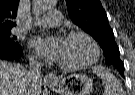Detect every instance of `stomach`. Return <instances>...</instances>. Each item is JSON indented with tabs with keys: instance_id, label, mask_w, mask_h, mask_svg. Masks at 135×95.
<instances>
[{
	"instance_id": "obj_1",
	"label": "stomach",
	"mask_w": 135,
	"mask_h": 95,
	"mask_svg": "<svg viewBox=\"0 0 135 95\" xmlns=\"http://www.w3.org/2000/svg\"><path fill=\"white\" fill-rule=\"evenodd\" d=\"M49 87L59 95H90L92 80L83 74H70L59 78L57 83H50Z\"/></svg>"
}]
</instances>
